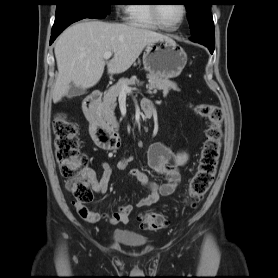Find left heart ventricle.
<instances>
[{"label": "left heart ventricle", "mask_w": 278, "mask_h": 278, "mask_svg": "<svg viewBox=\"0 0 278 278\" xmlns=\"http://www.w3.org/2000/svg\"><path fill=\"white\" fill-rule=\"evenodd\" d=\"M158 14L163 23L173 26L181 19L182 6L176 3L160 5L158 6Z\"/></svg>", "instance_id": "left-heart-ventricle-1"}]
</instances>
